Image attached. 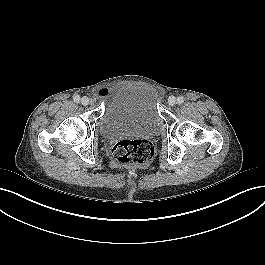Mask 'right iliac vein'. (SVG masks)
Instances as JSON below:
<instances>
[{
	"instance_id": "1",
	"label": "right iliac vein",
	"mask_w": 265,
	"mask_h": 265,
	"mask_svg": "<svg viewBox=\"0 0 265 265\" xmlns=\"http://www.w3.org/2000/svg\"><path fill=\"white\" fill-rule=\"evenodd\" d=\"M90 102H91L90 99L88 97H86V96L82 97V99H81V103L84 106L90 104Z\"/></svg>"
}]
</instances>
